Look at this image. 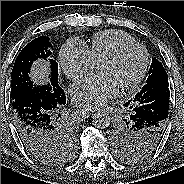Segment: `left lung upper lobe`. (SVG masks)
I'll return each instance as SVG.
<instances>
[{
	"label": "left lung upper lobe",
	"instance_id": "1",
	"mask_svg": "<svg viewBox=\"0 0 184 184\" xmlns=\"http://www.w3.org/2000/svg\"><path fill=\"white\" fill-rule=\"evenodd\" d=\"M148 74L146 84L138 93L142 94L148 90H158L157 88L169 86L168 75L163 65L156 58H152ZM160 93L161 91L158 90L156 95L161 97L162 94ZM128 107L130 108V106ZM131 114L132 109L124 117L118 118L111 130L117 154L126 161L139 160L148 156L160 143L149 129L137 126Z\"/></svg>",
	"mask_w": 184,
	"mask_h": 184
}]
</instances>
